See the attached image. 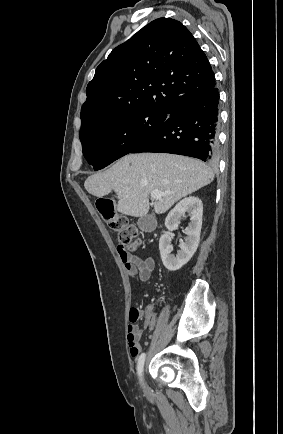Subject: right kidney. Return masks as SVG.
<instances>
[{
  "instance_id": "ca27d5eb",
  "label": "right kidney",
  "mask_w": 283,
  "mask_h": 434,
  "mask_svg": "<svg viewBox=\"0 0 283 434\" xmlns=\"http://www.w3.org/2000/svg\"><path fill=\"white\" fill-rule=\"evenodd\" d=\"M188 213L190 223L185 230L187 235L184 241H180V250L176 256L171 254L173 246L171 241L174 237L173 230L177 229L181 219ZM203 205L199 198L191 196L181 200L165 219L168 232L159 240V250L162 262L169 271H176L183 267L194 255L200 241L202 227Z\"/></svg>"
}]
</instances>
